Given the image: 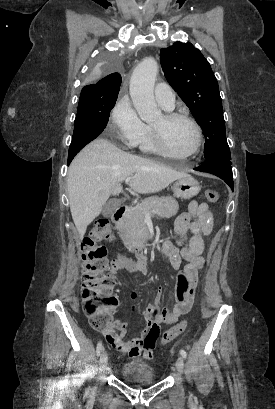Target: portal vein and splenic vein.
<instances>
[{
    "label": "portal vein and splenic vein",
    "mask_w": 275,
    "mask_h": 409,
    "mask_svg": "<svg viewBox=\"0 0 275 409\" xmlns=\"http://www.w3.org/2000/svg\"><path fill=\"white\" fill-rule=\"evenodd\" d=\"M131 178H132V176H127V178H125L126 184H128V182H130Z\"/></svg>",
    "instance_id": "obj_1"
}]
</instances>
